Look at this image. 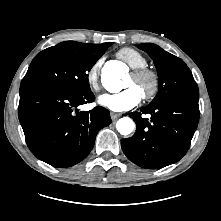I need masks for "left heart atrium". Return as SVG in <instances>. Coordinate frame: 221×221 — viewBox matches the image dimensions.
Returning <instances> with one entry per match:
<instances>
[{
  "label": "left heart atrium",
  "instance_id": "obj_1",
  "mask_svg": "<svg viewBox=\"0 0 221 221\" xmlns=\"http://www.w3.org/2000/svg\"><path fill=\"white\" fill-rule=\"evenodd\" d=\"M142 99V93L133 85H130L116 93H106L99 97V104L105 108L122 112L132 109Z\"/></svg>",
  "mask_w": 221,
  "mask_h": 221
}]
</instances>
